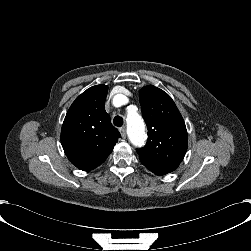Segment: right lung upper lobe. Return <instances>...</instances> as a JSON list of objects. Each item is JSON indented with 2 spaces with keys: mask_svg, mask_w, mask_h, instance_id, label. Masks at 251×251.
<instances>
[{
  "mask_svg": "<svg viewBox=\"0 0 251 251\" xmlns=\"http://www.w3.org/2000/svg\"><path fill=\"white\" fill-rule=\"evenodd\" d=\"M106 85L90 87L69 108L61 130V143L70 162L90 171L102 164L120 137L105 111Z\"/></svg>",
  "mask_w": 251,
  "mask_h": 251,
  "instance_id": "1",
  "label": "right lung upper lobe"
}]
</instances>
